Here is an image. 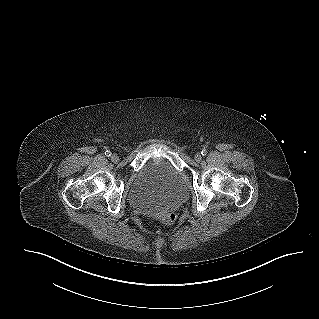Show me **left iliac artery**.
<instances>
[{
  "instance_id": "left-iliac-artery-1",
  "label": "left iliac artery",
  "mask_w": 319,
  "mask_h": 319,
  "mask_svg": "<svg viewBox=\"0 0 319 319\" xmlns=\"http://www.w3.org/2000/svg\"><path fill=\"white\" fill-rule=\"evenodd\" d=\"M201 154H202L203 156H205V155L207 154V150L203 149V150L201 151Z\"/></svg>"
}]
</instances>
